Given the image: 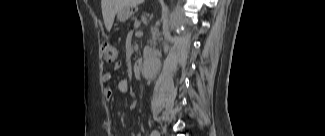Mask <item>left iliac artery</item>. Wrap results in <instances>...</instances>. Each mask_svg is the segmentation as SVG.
Wrapping results in <instances>:
<instances>
[{
  "instance_id": "obj_1",
  "label": "left iliac artery",
  "mask_w": 325,
  "mask_h": 136,
  "mask_svg": "<svg viewBox=\"0 0 325 136\" xmlns=\"http://www.w3.org/2000/svg\"><path fill=\"white\" fill-rule=\"evenodd\" d=\"M151 136H160V133L157 130H153Z\"/></svg>"
}]
</instances>
